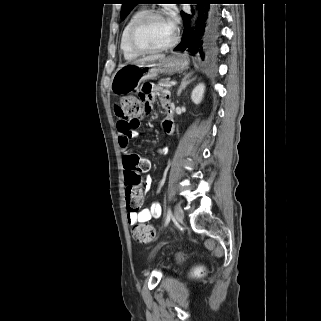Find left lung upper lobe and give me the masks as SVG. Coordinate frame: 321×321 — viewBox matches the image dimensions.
<instances>
[{"mask_svg": "<svg viewBox=\"0 0 321 321\" xmlns=\"http://www.w3.org/2000/svg\"><path fill=\"white\" fill-rule=\"evenodd\" d=\"M139 1L140 0H122V8L120 14L122 20L126 18V16L130 13L134 6L139 3Z\"/></svg>", "mask_w": 321, "mask_h": 321, "instance_id": "1", "label": "left lung upper lobe"}]
</instances>
